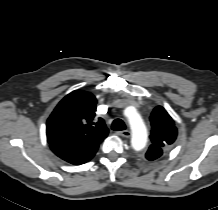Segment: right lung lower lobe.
Wrapping results in <instances>:
<instances>
[{
    "mask_svg": "<svg viewBox=\"0 0 218 210\" xmlns=\"http://www.w3.org/2000/svg\"><path fill=\"white\" fill-rule=\"evenodd\" d=\"M50 148L58 157L74 165L88 162L96 153V151L83 152L58 145H50Z\"/></svg>",
    "mask_w": 218,
    "mask_h": 210,
    "instance_id": "right-lung-lower-lobe-1",
    "label": "right lung lower lobe"
}]
</instances>
